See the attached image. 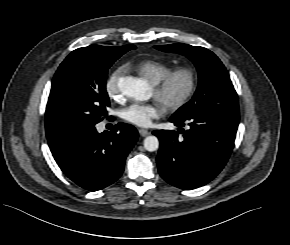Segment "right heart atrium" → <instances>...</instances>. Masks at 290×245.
<instances>
[{"label": "right heart atrium", "mask_w": 290, "mask_h": 245, "mask_svg": "<svg viewBox=\"0 0 290 245\" xmlns=\"http://www.w3.org/2000/svg\"><path fill=\"white\" fill-rule=\"evenodd\" d=\"M123 73L124 68L119 67L110 74V76L106 81L105 85L106 93L111 99L115 101H120L123 98V93L119 86V79Z\"/></svg>", "instance_id": "right-heart-atrium-1"}]
</instances>
